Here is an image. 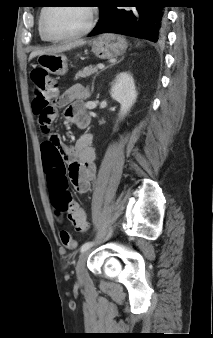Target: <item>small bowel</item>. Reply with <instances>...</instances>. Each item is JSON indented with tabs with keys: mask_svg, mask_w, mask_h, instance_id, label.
<instances>
[{
	"mask_svg": "<svg viewBox=\"0 0 213 338\" xmlns=\"http://www.w3.org/2000/svg\"><path fill=\"white\" fill-rule=\"evenodd\" d=\"M86 98V89L76 84L58 96L55 106L66 108L64 117L67 121L84 127L88 119L80 111V105ZM92 141V136L87 134L80 137L73 147L61 144L54 146L50 152L42 148L43 169L49 190L53 191L58 183L70 181L76 192L85 194L89 191L90 182L96 173Z\"/></svg>",
	"mask_w": 213,
	"mask_h": 338,
	"instance_id": "1",
	"label": "small bowel"
}]
</instances>
